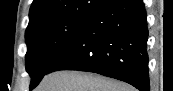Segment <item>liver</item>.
Instances as JSON below:
<instances>
[{
    "label": "liver",
    "mask_w": 173,
    "mask_h": 91,
    "mask_svg": "<svg viewBox=\"0 0 173 91\" xmlns=\"http://www.w3.org/2000/svg\"><path fill=\"white\" fill-rule=\"evenodd\" d=\"M35 91H135L124 82L98 74L57 71L42 79Z\"/></svg>",
    "instance_id": "1"
}]
</instances>
